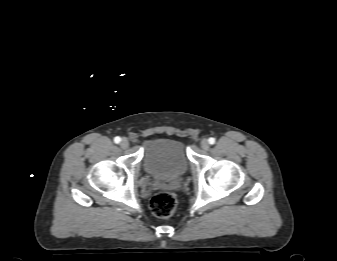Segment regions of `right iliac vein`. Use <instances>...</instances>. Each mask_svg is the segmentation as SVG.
Masks as SVG:
<instances>
[{
  "mask_svg": "<svg viewBox=\"0 0 337 261\" xmlns=\"http://www.w3.org/2000/svg\"><path fill=\"white\" fill-rule=\"evenodd\" d=\"M120 146H121L123 149L128 148V146H129V141H128V139L123 138L122 141H121V143H120Z\"/></svg>",
  "mask_w": 337,
  "mask_h": 261,
  "instance_id": "1",
  "label": "right iliac vein"
}]
</instances>
